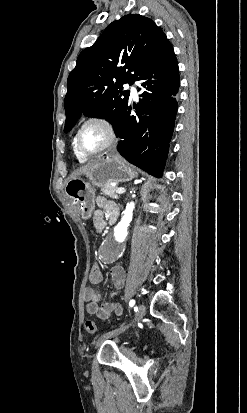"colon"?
Masks as SVG:
<instances>
[{"label":"colon","mask_w":247,"mask_h":413,"mask_svg":"<svg viewBox=\"0 0 247 413\" xmlns=\"http://www.w3.org/2000/svg\"><path fill=\"white\" fill-rule=\"evenodd\" d=\"M88 279L99 281L101 279V266L99 264H90L88 266ZM84 330L87 333H95L96 324L92 319H85Z\"/></svg>","instance_id":"obj_1"}]
</instances>
